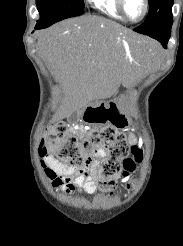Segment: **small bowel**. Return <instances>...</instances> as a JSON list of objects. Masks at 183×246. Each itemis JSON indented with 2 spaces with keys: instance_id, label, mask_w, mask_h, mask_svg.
I'll list each match as a JSON object with an SVG mask.
<instances>
[{
  "instance_id": "c3829d8e",
  "label": "small bowel",
  "mask_w": 183,
  "mask_h": 246,
  "mask_svg": "<svg viewBox=\"0 0 183 246\" xmlns=\"http://www.w3.org/2000/svg\"><path fill=\"white\" fill-rule=\"evenodd\" d=\"M82 130V128L79 129V131ZM129 140L131 143H135L136 141L133 135H130ZM105 157V149L97 148L93 153V160L91 163L82 170H76L60 163L52 156H47V176L52 181L54 187L60 188L67 194H73L76 190L83 191L86 194H93L96 191L99 165Z\"/></svg>"
}]
</instances>
